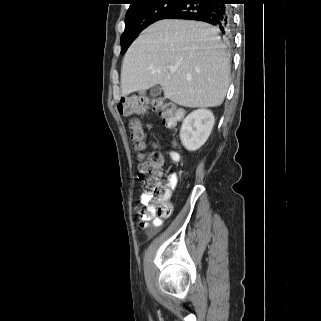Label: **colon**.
<instances>
[{
	"label": "colon",
	"mask_w": 321,
	"mask_h": 321,
	"mask_svg": "<svg viewBox=\"0 0 321 321\" xmlns=\"http://www.w3.org/2000/svg\"><path fill=\"white\" fill-rule=\"evenodd\" d=\"M118 109L121 114L131 116L152 109L159 113L163 123L168 128L176 126L181 119L182 113L177 107L162 98L150 99L145 95H136L124 98L120 101ZM132 139L135 143L137 176L143 181L145 192L150 195L149 202L137 207L142 215L159 216L167 218L172 212V205L168 202V191L161 184L163 162L156 153L148 154L143 151L142 131L137 121H132ZM174 160L178 159L176 154L172 155Z\"/></svg>",
	"instance_id": "colon-1"
}]
</instances>
